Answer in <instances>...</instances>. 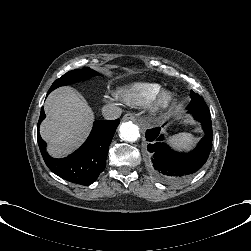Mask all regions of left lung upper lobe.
<instances>
[{
	"mask_svg": "<svg viewBox=\"0 0 251 251\" xmlns=\"http://www.w3.org/2000/svg\"><path fill=\"white\" fill-rule=\"evenodd\" d=\"M190 96L192 98V101L187 108H195L210 113L208 106L200 95L191 91Z\"/></svg>",
	"mask_w": 251,
	"mask_h": 251,
	"instance_id": "5c2ea615",
	"label": "left lung upper lobe"
}]
</instances>
